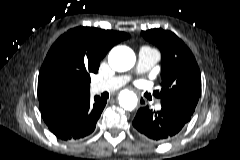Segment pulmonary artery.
<instances>
[{
	"label": "pulmonary artery",
	"mask_w": 240,
	"mask_h": 160,
	"mask_svg": "<svg viewBox=\"0 0 240 160\" xmlns=\"http://www.w3.org/2000/svg\"><path fill=\"white\" fill-rule=\"evenodd\" d=\"M159 59L160 54L157 50L147 46L141 47L138 52V60L135 73L141 74L148 72L159 61ZM132 78L133 75L131 74L114 76L94 83L92 89L95 93L116 90L126 85ZM156 108L159 110L161 109V106L157 105Z\"/></svg>",
	"instance_id": "obj_1"
}]
</instances>
